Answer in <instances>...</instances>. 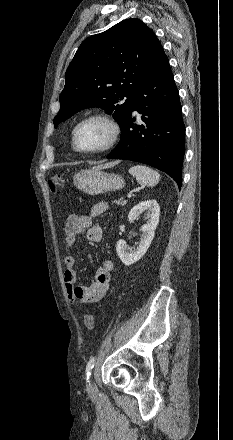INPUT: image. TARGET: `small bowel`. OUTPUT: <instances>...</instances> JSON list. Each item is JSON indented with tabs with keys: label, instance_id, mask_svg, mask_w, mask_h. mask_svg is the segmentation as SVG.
Wrapping results in <instances>:
<instances>
[{
	"label": "small bowel",
	"instance_id": "obj_1",
	"mask_svg": "<svg viewBox=\"0 0 233 440\" xmlns=\"http://www.w3.org/2000/svg\"><path fill=\"white\" fill-rule=\"evenodd\" d=\"M107 209L104 202L96 204L88 214H71L65 223V241L72 247L77 236L86 232L90 242H99L102 239V229L94 224V219ZM77 260L74 255L65 258L64 282L68 297L72 303H94L101 300L107 293L113 271V261L104 259L95 273V279L90 285L77 284Z\"/></svg>",
	"mask_w": 233,
	"mask_h": 440
}]
</instances>
